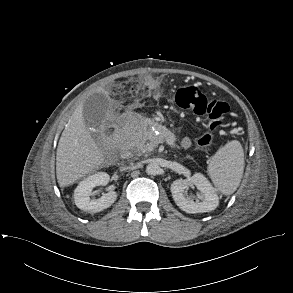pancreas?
<instances>
[{"instance_id":"obj_1","label":"pancreas","mask_w":293,"mask_h":293,"mask_svg":"<svg viewBox=\"0 0 293 293\" xmlns=\"http://www.w3.org/2000/svg\"><path fill=\"white\" fill-rule=\"evenodd\" d=\"M122 136L120 137L119 141L121 143H124V142H136L137 144V147L139 148V150H142L144 149L145 151H148V147H156V145L160 142L163 141V137L161 136H158V137H155L152 139V136L154 135L153 131H150L149 133H147L145 131V128H142L140 129L137 133H135L134 131H125V132H122ZM152 139V142L151 143H146L147 140H150Z\"/></svg>"}]
</instances>
